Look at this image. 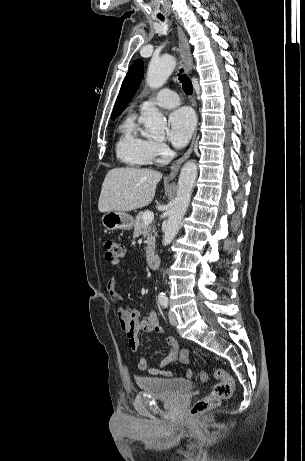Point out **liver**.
I'll list each match as a JSON object with an SVG mask.
<instances>
[{"label": "liver", "instance_id": "obj_1", "mask_svg": "<svg viewBox=\"0 0 305 461\" xmlns=\"http://www.w3.org/2000/svg\"><path fill=\"white\" fill-rule=\"evenodd\" d=\"M162 174L147 168H114L108 171L98 202L100 212L132 211L153 200Z\"/></svg>", "mask_w": 305, "mask_h": 461}]
</instances>
